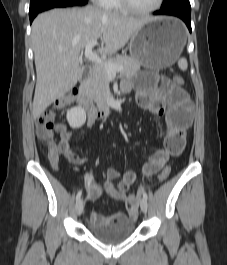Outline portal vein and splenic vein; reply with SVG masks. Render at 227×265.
I'll use <instances>...</instances> for the list:
<instances>
[{"label":"portal vein and splenic vein","mask_w":227,"mask_h":265,"mask_svg":"<svg viewBox=\"0 0 227 265\" xmlns=\"http://www.w3.org/2000/svg\"><path fill=\"white\" fill-rule=\"evenodd\" d=\"M96 45H97V40H92L86 44L84 54L88 60H90V61H92L98 65L104 66V68L106 69L107 73L110 76H115L117 72L123 71L122 66L114 65L112 63H107V62L103 61L96 53H94L92 51V49Z\"/></svg>","instance_id":"obj_1"}]
</instances>
